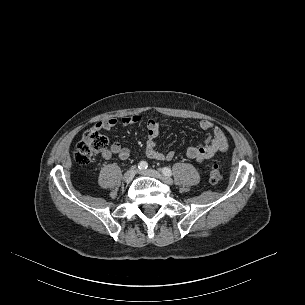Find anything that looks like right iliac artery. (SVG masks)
<instances>
[{"mask_svg":"<svg viewBox=\"0 0 305 305\" xmlns=\"http://www.w3.org/2000/svg\"><path fill=\"white\" fill-rule=\"evenodd\" d=\"M148 167V163L146 161H141L139 164H138V168L140 170H144V169H147Z\"/></svg>","mask_w":305,"mask_h":305,"instance_id":"obj_1","label":"right iliac artery"}]
</instances>
